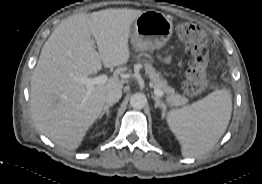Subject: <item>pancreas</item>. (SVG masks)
<instances>
[{"label": "pancreas", "instance_id": "pancreas-1", "mask_svg": "<svg viewBox=\"0 0 262 184\" xmlns=\"http://www.w3.org/2000/svg\"><path fill=\"white\" fill-rule=\"evenodd\" d=\"M145 71L148 74L155 88L163 91L166 95V100L171 106H181L188 102V99L176 93L173 88L167 85V81L156 72L150 63H144Z\"/></svg>", "mask_w": 262, "mask_h": 184}]
</instances>
